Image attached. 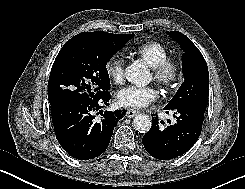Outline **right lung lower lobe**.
I'll use <instances>...</instances> for the list:
<instances>
[{
	"label": "right lung lower lobe",
	"mask_w": 245,
	"mask_h": 189,
	"mask_svg": "<svg viewBox=\"0 0 245 189\" xmlns=\"http://www.w3.org/2000/svg\"><path fill=\"white\" fill-rule=\"evenodd\" d=\"M110 97L109 90H102L90 98L51 105L56 138L69 155L79 160H88L106 150L114 127L126 113V110L103 113L101 105H108ZM95 113H100L102 117L95 118Z\"/></svg>",
	"instance_id": "1"
}]
</instances>
